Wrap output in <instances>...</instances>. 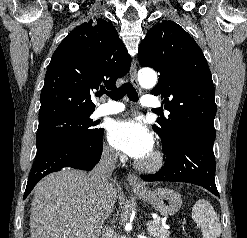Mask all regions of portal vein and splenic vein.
<instances>
[{
	"label": "portal vein and splenic vein",
	"mask_w": 247,
	"mask_h": 238,
	"mask_svg": "<svg viewBox=\"0 0 247 238\" xmlns=\"http://www.w3.org/2000/svg\"><path fill=\"white\" fill-rule=\"evenodd\" d=\"M150 224V221H148L147 223H146V225H149Z\"/></svg>",
	"instance_id": "1"
}]
</instances>
